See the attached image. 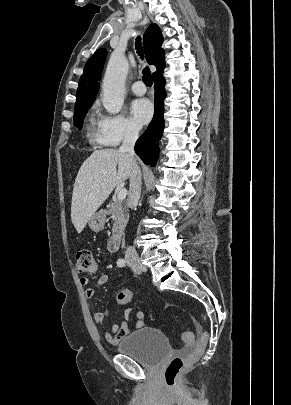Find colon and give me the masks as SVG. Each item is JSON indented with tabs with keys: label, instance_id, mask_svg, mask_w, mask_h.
<instances>
[{
	"label": "colon",
	"instance_id": "1",
	"mask_svg": "<svg viewBox=\"0 0 291 405\" xmlns=\"http://www.w3.org/2000/svg\"><path fill=\"white\" fill-rule=\"evenodd\" d=\"M77 272L84 275L94 276L99 271V265L95 260L92 252L88 249H81L76 255ZM132 293L128 288L122 287L117 293V302L127 304L130 302ZM209 336L207 332H202L197 340L195 349L185 357H173L165 368L164 379L168 386H173L184 369L194 364L204 353ZM182 341L185 345L190 346L194 342V335L191 332H185L182 335Z\"/></svg>",
	"mask_w": 291,
	"mask_h": 405
}]
</instances>
